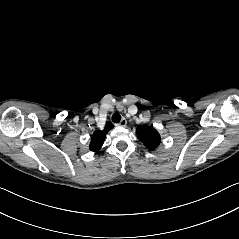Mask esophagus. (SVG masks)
Instances as JSON below:
<instances>
[{
    "label": "esophagus",
    "instance_id": "34e87169",
    "mask_svg": "<svg viewBox=\"0 0 239 239\" xmlns=\"http://www.w3.org/2000/svg\"><path fill=\"white\" fill-rule=\"evenodd\" d=\"M127 124V120L125 118H122L121 121L117 124L121 127H125Z\"/></svg>",
    "mask_w": 239,
    "mask_h": 239
}]
</instances>
